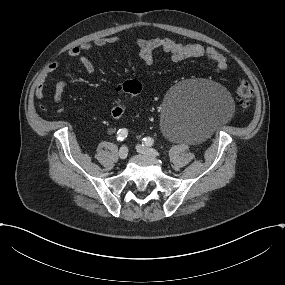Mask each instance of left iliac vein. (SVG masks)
<instances>
[{
  "label": "left iliac vein",
  "instance_id": "left-iliac-vein-1",
  "mask_svg": "<svg viewBox=\"0 0 285 285\" xmlns=\"http://www.w3.org/2000/svg\"><path fill=\"white\" fill-rule=\"evenodd\" d=\"M138 152L142 153V154H145V155H149V156H152V157H157L158 156V153L152 149V148H147L143 145H137L136 146Z\"/></svg>",
  "mask_w": 285,
  "mask_h": 285
}]
</instances>
